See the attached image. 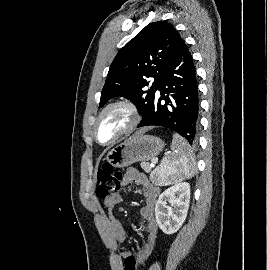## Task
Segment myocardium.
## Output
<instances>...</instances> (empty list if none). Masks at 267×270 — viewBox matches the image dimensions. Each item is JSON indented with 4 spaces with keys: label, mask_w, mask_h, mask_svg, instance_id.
Segmentation results:
<instances>
[{
    "label": "myocardium",
    "mask_w": 267,
    "mask_h": 270,
    "mask_svg": "<svg viewBox=\"0 0 267 270\" xmlns=\"http://www.w3.org/2000/svg\"><path fill=\"white\" fill-rule=\"evenodd\" d=\"M116 107L125 108L129 112V114L131 116L130 123L115 138H113L109 142L103 143V142H101L99 140V137H98V125H99V122H100L102 116L107 111H109V110H111L113 108H116ZM140 118L141 117H140L139 109L136 106V104L133 103L132 101H130V100H117V101L111 102V103L107 104L105 107H103V109L99 112V114H98V116H97V118L95 120V124H94V128H93L94 138H95L96 142H98L100 145H103V146L112 145V144L118 142L124 136L128 135L129 133H131L137 127V125L139 124Z\"/></svg>",
    "instance_id": "obj_1"
}]
</instances>
